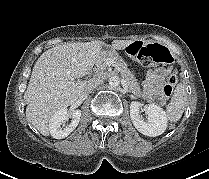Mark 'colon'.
<instances>
[{
    "mask_svg": "<svg viewBox=\"0 0 209 179\" xmlns=\"http://www.w3.org/2000/svg\"><path fill=\"white\" fill-rule=\"evenodd\" d=\"M126 55L139 63L144 65H155L159 63H166L171 61L169 51L158 44H145L143 42H133L125 48ZM178 81L177 72L173 71L163 87V92L166 97H170L174 91Z\"/></svg>",
    "mask_w": 209,
    "mask_h": 179,
    "instance_id": "1",
    "label": "colon"
}]
</instances>
